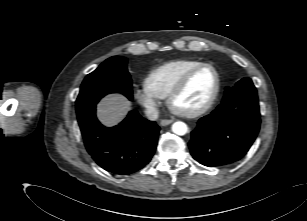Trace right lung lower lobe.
<instances>
[{
    "label": "right lung lower lobe",
    "mask_w": 307,
    "mask_h": 221,
    "mask_svg": "<svg viewBox=\"0 0 307 221\" xmlns=\"http://www.w3.org/2000/svg\"><path fill=\"white\" fill-rule=\"evenodd\" d=\"M96 106L78 116L85 147L93 160L116 175H128L147 165L157 146L160 127L130 111L113 128L104 127L96 118Z\"/></svg>",
    "instance_id": "98d812e1"
}]
</instances>
